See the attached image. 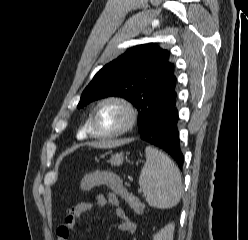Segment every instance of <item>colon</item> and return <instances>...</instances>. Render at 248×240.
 Returning a JSON list of instances; mask_svg holds the SVG:
<instances>
[{
	"mask_svg": "<svg viewBox=\"0 0 248 240\" xmlns=\"http://www.w3.org/2000/svg\"><path fill=\"white\" fill-rule=\"evenodd\" d=\"M99 185L110 187L115 194L121 197L136 213L141 214L143 212V205L139 199L123 185L122 181L116 175L111 172L96 171L86 175L81 181L80 188L83 192H87Z\"/></svg>",
	"mask_w": 248,
	"mask_h": 240,
	"instance_id": "1",
	"label": "colon"
}]
</instances>
